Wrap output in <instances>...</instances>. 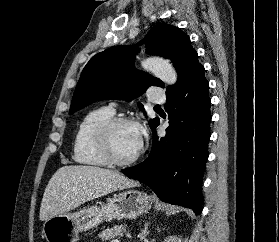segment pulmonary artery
Segmentation results:
<instances>
[{"mask_svg": "<svg viewBox=\"0 0 279 242\" xmlns=\"http://www.w3.org/2000/svg\"><path fill=\"white\" fill-rule=\"evenodd\" d=\"M149 100L152 103H156V104L164 103L165 94L159 86H151L149 88ZM110 109L114 111L113 107H111Z\"/></svg>", "mask_w": 279, "mask_h": 242, "instance_id": "e3ab8cb5", "label": "pulmonary artery"}]
</instances>
